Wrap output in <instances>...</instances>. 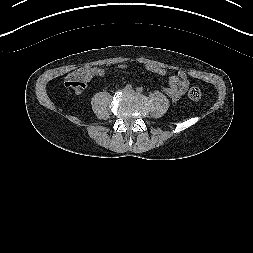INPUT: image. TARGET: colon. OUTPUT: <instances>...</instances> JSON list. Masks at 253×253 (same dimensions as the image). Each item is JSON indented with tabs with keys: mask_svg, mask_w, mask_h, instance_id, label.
<instances>
[{
	"mask_svg": "<svg viewBox=\"0 0 253 253\" xmlns=\"http://www.w3.org/2000/svg\"><path fill=\"white\" fill-rule=\"evenodd\" d=\"M92 74L93 69L90 67L79 68L67 77L65 85L73 89L75 92L83 91L86 88L88 81L91 79ZM201 97L202 92L199 87L194 86L188 91V98L191 101H199Z\"/></svg>",
	"mask_w": 253,
	"mask_h": 253,
	"instance_id": "1",
	"label": "colon"
}]
</instances>
